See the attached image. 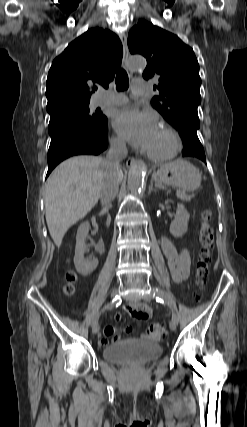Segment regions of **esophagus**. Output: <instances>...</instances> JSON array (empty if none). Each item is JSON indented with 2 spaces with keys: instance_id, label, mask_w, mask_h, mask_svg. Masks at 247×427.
I'll list each match as a JSON object with an SVG mask.
<instances>
[{
  "instance_id": "obj_1",
  "label": "esophagus",
  "mask_w": 247,
  "mask_h": 427,
  "mask_svg": "<svg viewBox=\"0 0 247 427\" xmlns=\"http://www.w3.org/2000/svg\"><path fill=\"white\" fill-rule=\"evenodd\" d=\"M119 38L121 40L122 43V47H123V59H122V65L124 67V69L127 71L128 75L130 77L133 76L132 71L130 70L129 66H128V56H129V51H128V46H127V38L125 36V34H119ZM136 163V159L133 157H129L126 161V165L127 167H131L132 165H134Z\"/></svg>"
}]
</instances>
